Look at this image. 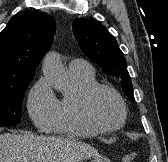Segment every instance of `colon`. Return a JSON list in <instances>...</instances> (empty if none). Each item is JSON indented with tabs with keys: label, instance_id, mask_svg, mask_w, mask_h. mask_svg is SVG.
I'll return each instance as SVG.
<instances>
[{
	"label": "colon",
	"instance_id": "obj_1",
	"mask_svg": "<svg viewBox=\"0 0 168 162\" xmlns=\"http://www.w3.org/2000/svg\"><path fill=\"white\" fill-rule=\"evenodd\" d=\"M137 158V155L134 153L131 154H127L124 158H123V162H135Z\"/></svg>",
	"mask_w": 168,
	"mask_h": 162
}]
</instances>
